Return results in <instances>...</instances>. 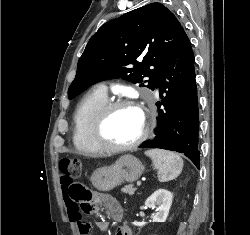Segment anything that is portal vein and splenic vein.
Here are the masks:
<instances>
[{"label":"portal vein and splenic vein","mask_w":250,"mask_h":235,"mask_svg":"<svg viewBox=\"0 0 250 235\" xmlns=\"http://www.w3.org/2000/svg\"><path fill=\"white\" fill-rule=\"evenodd\" d=\"M141 185V181H137V186H140Z\"/></svg>","instance_id":"obj_1"}]
</instances>
